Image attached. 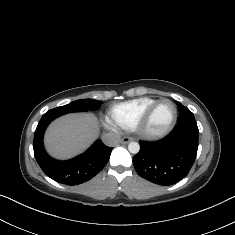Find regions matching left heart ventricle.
Segmentation results:
<instances>
[{"mask_svg":"<svg viewBox=\"0 0 235 235\" xmlns=\"http://www.w3.org/2000/svg\"><path fill=\"white\" fill-rule=\"evenodd\" d=\"M174 114L175 109L170 102H161L153 113L149 130L152 132H159L164 130L170 124Z\"/></svg>","mask_w":235,"mask_h":235,"instance_id":"b2bd125f","label":"left heart ventricle"}]
</instances>
